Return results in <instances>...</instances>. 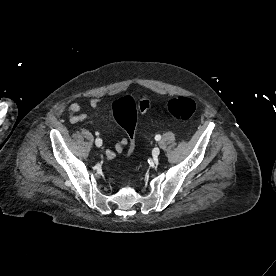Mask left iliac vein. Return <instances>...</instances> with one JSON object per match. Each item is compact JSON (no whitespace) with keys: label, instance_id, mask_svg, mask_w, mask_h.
Wrapping results in <instances>:
<instances>
[{"label":"left iliac vein","instance_id":"obj_1","mask_svg":"<svg viewBox=\"0 0 276 276\" xmlns=\"http://www.w3.org/2000/svg\"><path fill=\"white\" fill-rule=\"evenodd\" d=\"M160 154V149L158 147H155L153 150H152V155L154 157H157L158 155Z\"/></svg>","mask_w":276,"mask_h":276}]
</instances>
